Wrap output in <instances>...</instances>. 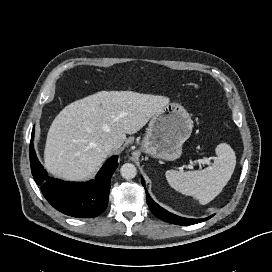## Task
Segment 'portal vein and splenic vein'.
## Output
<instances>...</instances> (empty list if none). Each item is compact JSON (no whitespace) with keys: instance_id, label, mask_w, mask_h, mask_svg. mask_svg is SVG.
I'll use <instances>...</instances> for the list:
<instances>
[{"instance_id":"obj_1","label":"portal vein and splenic vein","mask_w":272,"mask_h":272,"mask_svg":"<svg viewBox=\"0 0 272 272\" xmlns=\"http://www.w3.org/2000/svg\"><path fill=\"white\" fill-rule=\"evenodd\" d=\"M196 162H198V163H202V164H208L209 163V160H204V159H198V160H196ZM192 166H190V168H191Z\"/></svg>"}]
</instances>
